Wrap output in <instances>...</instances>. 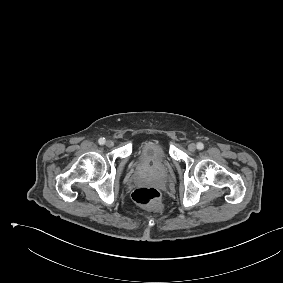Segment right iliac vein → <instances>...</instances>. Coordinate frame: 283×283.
I'll use <instances>...</instances> for the list:
<instances>
[{
  "label": "right iliac vein",
  "instance_id": "right-iliac-vein-1",
  "mask_svg": "<svg viewBox=\"0 0 283 283\" xmlns=\"http://www.w3.org/2000/svg\"><path fill=\"white\" fill-rule=\"evenodd\" d=\"M106 146H107V147H113V146H114V142L111 141V140H108V141L106 142Z\"/></svg>",
  "mask_w": 283,
  "mask_h": 283
}]
</instances>
